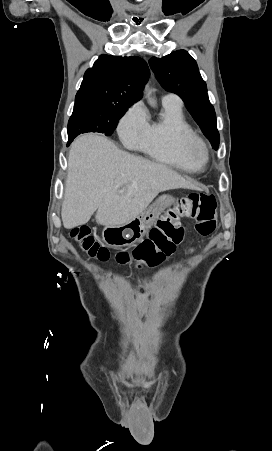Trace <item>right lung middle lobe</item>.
<instances>
[{"label":"right lung middle lobe","instance_id":"right-lung-middle-lobe-1","mask_svg":"<svg viewBox=\"0 0 272 451\" xmlns=\"http://www.w3.org/2000/svg\"><path fill=\"white\" fill-rule=\"evenodd\" d=\"M128 107L113 104H75L68 122V144L85 132H99L110 136Z\"/></svg>","mask_w":272,"mask_h":451}]
</instances>
